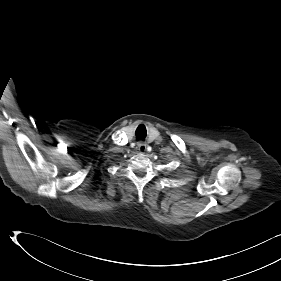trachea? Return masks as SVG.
I'll return each mask as SVG.
<instances>
[{"instance_id": "1", "label": "trachea", "mask_w": 281, "mask_h": 281, "mask_svg": "<svg viewBox=\"0 0 281 281\" xmlns=\"http://www.w3.org/2000/svg\"><path fill=\"white\" fill-rule=\"evenodd\" d=\"M138 138L142 139L144 136H140L138 133H136Z\"/></svg>"}]
</instances>
